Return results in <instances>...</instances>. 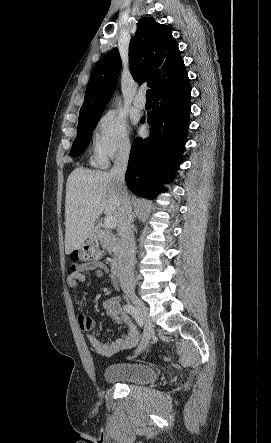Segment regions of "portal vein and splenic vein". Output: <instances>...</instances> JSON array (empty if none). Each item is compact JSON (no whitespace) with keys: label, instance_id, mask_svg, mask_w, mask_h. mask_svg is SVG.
<instances>
[{"label":"portal vein and splenic vein","instance_id":"18ae733b","mask_svg":"<svg viewBox=\"0 0 271 443\" xmlns=\"http://www.w3.org/2000/svg\"><path fill=\"white\" fill-rule=\"evenodd\" d=\"M104 225L105 227H116L117 220H115L113 216H107V218L104 220Z\"/></svg>","mask_w":271,"mask_h":443}]
</instances>
